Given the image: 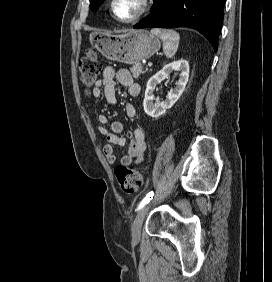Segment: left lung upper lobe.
<instances>
[{"label":"left lung upper lobe","instance_id":"left-lung-upper-lobe-1","mask_svg":"<svg viewBox=\"0 0 272 282\" xmlns=\"http://www.w3.org/2000/svg\"><path fill=\"white\" fill-rule=\"evenodd\" d=\"M104 0H91L90 2V8L92 11H97L99 6L103 3Z\"/></svg>","mask_w":272,"mask_h":282}]
</instances>
